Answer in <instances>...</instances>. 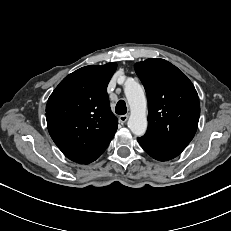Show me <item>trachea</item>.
Segmentation results:
<instances>
[{"mask_svg": "<svg viewBox=\"0 0 231 231\" xmlns=\"http://www.w3.org/2000/svg\"><path fill=\"white\" fill-rule=\"evenodd\" d=\"M115 112L118 115H124L127 112L126 103L124 100H119L115 107Z\"/></svg>", "mask_w": 231, "mask_h": 231, "instance_id": "1", "label": "trachea"}]
</instances>
